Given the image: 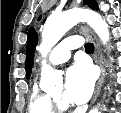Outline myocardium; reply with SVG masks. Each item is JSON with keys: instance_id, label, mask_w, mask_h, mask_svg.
<instances>
[{"instance_id": "myocardium-1", "label": "myocardium", "mask_w": 121, "mask_h": 113, "mask_svg": "<svg viewBox=\"0 0 121 113\" xmlns=\"http://www.w3.org/2000/svg\"><path fill=\"white\" fill-rule=\"evenodd\" d=\"M50 102L56 111L62 112L68 109V105L65 102L58 100L52 95L49 96Z\"/></svg>"}]
</instances>
